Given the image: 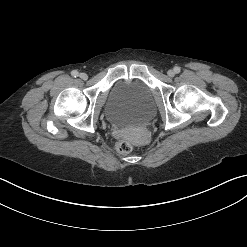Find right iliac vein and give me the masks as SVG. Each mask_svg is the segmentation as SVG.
Segmentation results:
<instances>
[{
    "mask_svg": "<svg viewBox=\"0 0 247 247\" xmlns=\"http://www.w3.org/2000/svg\"><path fill=\"white\" fill-rule=\"evenodd\" d=\"M79 77L83 80H86L88 78L86 73H80Z\"/></svg>",
    "mask_w": 247,
    "mask_h": 247,
    "instance_id": "1",
    "label": "right iliac vein"
}]
</instances>
